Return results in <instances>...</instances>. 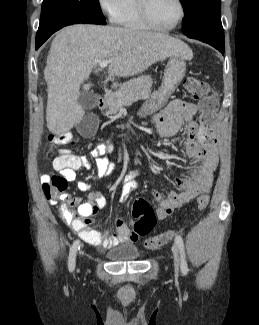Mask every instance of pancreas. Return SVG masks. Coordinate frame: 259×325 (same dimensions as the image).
I'll use <instances>...</instances> for the list:
<instances>
[{"label":"pancreas","instance_id":"cf45deb5","mask_svg":"<svg viewBox=\"0 0 259 325\" xmlns=\"http://www.w3.org/2000/svg\"><path fill=\"white\" fill-rule=\"evenodd\" d=\"M152 84L150 76H142L124 83L118 91L110 92L107 95L109 110L106 111V115L116 114L121 106H128L140 99H147L151 93Z\"/></svg>","mask_w":259,"mask_h":325}]
</instances>
